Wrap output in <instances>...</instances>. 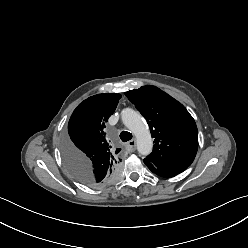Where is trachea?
Listing matches in <instances>:
<instances>
[{"label": "trachea", "instance_id": "3493384b", "mask_svg": "<svg viewBox=\"0 0 248 248\" xmlns=\"http://www.w3.org/2000/svg\"><path fill=\"white\" fill-rule=\"evenodd\" d=\"M120 139L123 141V142H127L129 140L132 139V134L128 131H122L120 133Z\"/></svg>", "mask_w": 248, "mask_h": 248}]
</instances>
